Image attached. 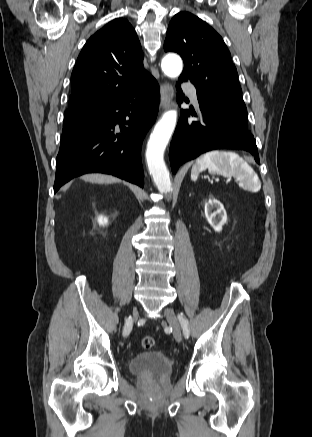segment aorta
I'll return each mask as SVG.
<instances>
[{"label":"aorta","instance_id":"762f6f07","mask_svg":"<svg viewBox=\"0 0 312 437\" xmlns=\"http://www.w3.org/2000/svg\"><path fill=\"white\" fill-rule=\"evenodd\" d=\"M161 68L168 77H178L183 68L182 60L177 55L169 54L163 58ZM176 120L177 112L175 110L164 113L150 136L146 150V160L150 175L159 192L164 194L171 191L172 187L163 155L175 129Z\"/></svg>","mask_w":312,"mask_h":437}]
</instances>
